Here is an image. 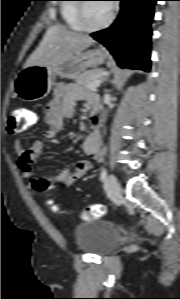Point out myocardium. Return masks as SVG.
<instances>
[{"instance_id":"obj_1","label":"myocardium","mask_w":180,"mask_h":299,"mask_svg":"<svg viewBox=\"0 0 180 299\" xmlns=\"http://www.w3.org/2000/svg\"><path fill=\"white\" fill-rule=\"evenodd\" d=\"M85 1V0H81ZM85 2H79L77 5V20L80 24L82 31L85 32H97L107 28L114 20L115 17V10L112 5H110V13L107 19L97 26H90L87 24L86 16H85Z\"/></svg>"}]
</instances>
